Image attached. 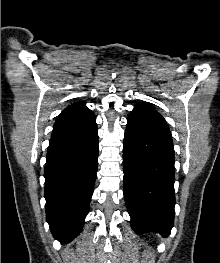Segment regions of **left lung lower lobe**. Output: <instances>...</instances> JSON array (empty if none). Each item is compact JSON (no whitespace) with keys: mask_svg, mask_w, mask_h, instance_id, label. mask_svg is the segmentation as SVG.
Listing matches in <instances>:
<instances>
[{"mask_svg":"<svg viewBox=\"0 0 220 263\" xmlns=\"http://www.w3.org/2000/svg\"><path fill=\"white\" fill-rule=\"evenodd\" d=\"M124 198L137 234L168 236L174 223V147L171 133L127 119L123 146Z\"/></svg>","mask_w":220,"mask_h":263,"instance_id":"0a47b994","label":"left lung lower lobe"}]
</instances>
